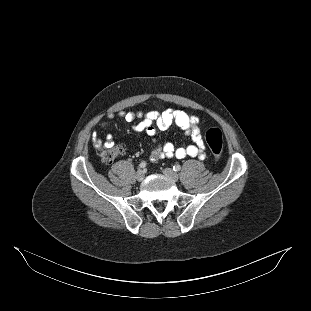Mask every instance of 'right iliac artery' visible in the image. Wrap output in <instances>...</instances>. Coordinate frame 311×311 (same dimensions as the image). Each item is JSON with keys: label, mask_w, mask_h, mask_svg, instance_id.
<instances>
[{"label": "right iliac artery", "mask_w": 311, "mask_h": 311, "mask_svg": "<svg viewBox=\"0 0 311 311\" xmlns=\"http://www.w3.org/2000/svg\"><path fill=\"white\" fill-rule=\"evenodd\" d=\"M146 167V163L145 162H141L140 164H139V168H145Z\"/></svg>", "instance_id": "82829eb1"}]
</instances>
